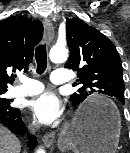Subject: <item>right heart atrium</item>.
Masks as SVG:
<instances>
[{"label":"right heart atrium","instance_id":"d8ad5b80","mask_svg":"<svg viewBox=\"0 0 130 153\" xmlns=\"http://www.w3.org/2000/svg\"><path fill=\"white\" fill-rule=\"evenodd\" d=\"M31 127L34 129L35 128V124H32Z\"/></svg>","mask_w":130,"mask_h":153}]
</instances>
